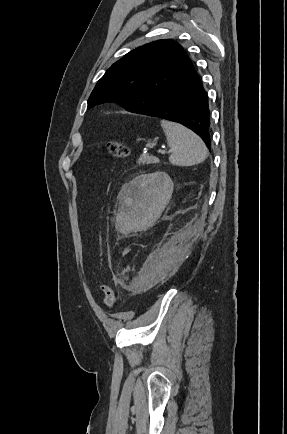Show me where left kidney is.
<instances>
[{"label":"left kidney","instance_id":"left-kidney-1","mask_svg":"<svg viewBox=\"0 0 287 434\" xmlns=\"http://www.w3.org/2000/svg\"><path fill=\"white\" fill-rule=\"evenodd\" d=\"M173 181L165 172L137 176L125 186L123 202L129 215L153 222L169 202Z\"/></svg>","mask_w":287,"mask_h":434}]
</instances>
